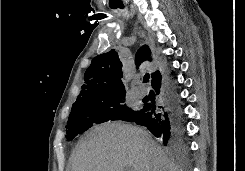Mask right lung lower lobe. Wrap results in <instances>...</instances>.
<instances>
[{"mask_svg": "<svg viewBox=\"0 0 245 171\" xmlns=\"http://www.w3.org/2000/svg\"><path fill=\"white\" fill-rule=\"evenodd\" d=\"M152 87L159 95V103L145 104L130 122L145 126L165 146L180 145L184 136V125L175 83L164 74L152 83Z\"/></svg>", "mask_w": 245, "mask_h": 171, "instance_id": "1", "label": "right lung lower lobe"}]
</instances>
